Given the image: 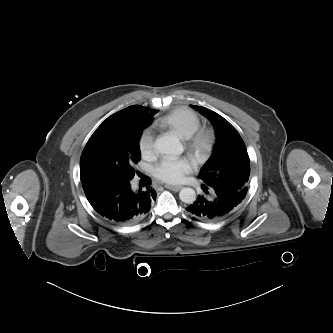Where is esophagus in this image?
I'll return each instance as SVG.
<instances>
[{
  "mask_svg": "<svg viewBox=\"0 0 333 333\" xmlns=\"http://www.w3.org/2000/svg\"><path fill=\"white\" fill-rule=\"evenodd\" d=\"M165 187L169 190L176 191V192L182 188V186H173V185H166Z\"/></svg>",
  "mask_w": 333,
  "mask_h": 333,
  "instance_id": "obj_1",
  "label": "esophagus"
}]
</instances>
